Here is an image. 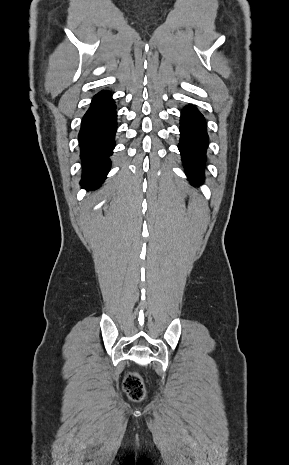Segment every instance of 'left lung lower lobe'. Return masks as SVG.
<instances>
[{"instance_id": "left-lung-lower-lobe-1", "label": "left lung lower lobe", "mask_w": 289, "mask_h": 465, "mask_svg": "<svg viewBox=\"0 0 289 465\" xmlns=\"http://www.w3.org/2000/svg\"><path fill=\"white\" fill-rule=\"evenodd\" d=\"M179 151L186 174L194 185L204 178V163L208 135L206 122L202 114L193 106H187L181 112Z\"/></svg>"}]
</instances>
